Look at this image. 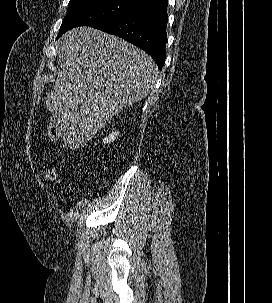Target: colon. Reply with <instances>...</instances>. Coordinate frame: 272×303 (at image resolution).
<instances>
[{"label": "colon", "instance_id": "colon-1", "mask_svg": "<svg viewBox=\"0 0 272 303\" xmlns=\"http://www.w3.org/2000/svg\"><path fill=\"white\" fill-rule=\"evenodd\" d=\"M47 134L51 141H57L60 133L58 129V124L55 120H51L47 126ZM42 176L47 181H54L58 177V172L53 166H46L42 170Z\"/></svg>", "mask_w": 272, "mask_h": 303}]
</instances>
